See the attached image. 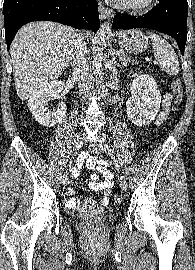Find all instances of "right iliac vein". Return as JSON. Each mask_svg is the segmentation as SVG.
<instances>
[{
    "instance_id": "63e3f726",
    "label": "right iliac vein",
    "mask_w": 195,
    "mask_h": 270,
    "mask_svg": "<svg viewBox=\"0 0 195 270\" xmlns=\"http://www.w3.org/2000/svg\"><path fill=\"white\" fill-rule=\"evenodd\" d=\"M83 145V135L81 133L77 134L74 143H73V155H77L78 151L81 149ZM72 171V166L70 165L66 172L64 173L62 184L67 186L70 183V173Z\"/></svg>"
}]
</instances>
